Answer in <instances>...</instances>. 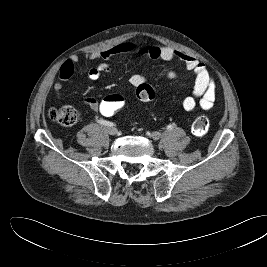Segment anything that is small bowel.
I'll list each match as a JSON object with an SVG mask.
<instances>
[{"mask_svg": "<svg viewBox=\"0 0 267 267\" xmlns=\"http://www.w3.org/2000/svg\"><path fill=\"white\" fill-rule=\"evenodd\" d=\"M125 55L162 59L165 61H181L184 68L192 72L195 77L191 95L185 97L182 101L183 109L186 112H192L197 107V104H199L203 110H209L213 107L216 98V83L206 66L194 57L165 45L140 46L133 42H123L106 50L87 53L85 57L90 60H103V62L87 72V78L90 80H98L108 75L111 72V68L106 61L113 57ZM78 60L79 57L74 55L61 65L59 69V80L54 85V92L57 98L61 97L63 84L73 76L75 64ZM176 75L177 73L171 70L167 73V78L173 79ZM145 81V76L140 73H133L130 77V83L134 87L143 84ZM124 94L126 95L127 92ZM99 102L100 101L93 97L84 99V103L94 111L98 110Z\"/></svg>", "mask_w": 267, "mask_h": 267, "instance_id": "c3829d8e", "label": "small bowel"}]
</instances>
